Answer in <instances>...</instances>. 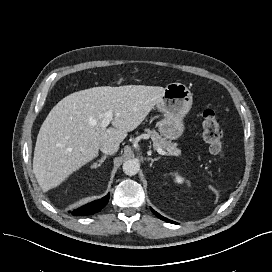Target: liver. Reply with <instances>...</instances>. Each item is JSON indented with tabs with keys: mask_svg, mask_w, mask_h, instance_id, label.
Wrapping results in <instances>:
<instances>
[{
	"mask_svg": "<svg viewBox=\"0 0 272 272\" xmlns=\"http://www.w3.org/2000/svg\"><path fill=\"white\" fill-rule=\"evenodd\" d=\"M165 88L125 85L93 87L59 101L43 122L34 150L33 172L44 191L98 156L105 142L118 145L136 129L159 102ZM112 111V126L104 114Z\"/></svg>",
	"mask_w": 272,
	"mask_h": 272,
	"instance_id": "6515ba94",
	"label": "liver"
}]
</instances>
